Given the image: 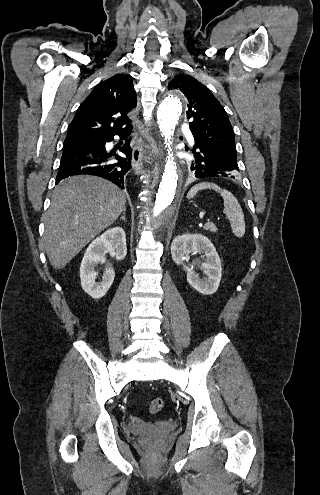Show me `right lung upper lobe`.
I'll use <instances>...</instances> for the list:
<instances>
[{"mask_svg": "<svg viewBox=\"0 0 320 495\" xmlns=\"http://www.w3.org/2000/svg\"><path fill=\"white\" fill-rule=\"evenodd\" d=\"M136 104V92L128 75L116 74L100 82L79 106L64 142L98 139L130 128L127 113Z\"/></svg>", "mask_w": 320, "mask_h": 495, "instance_id": "1", "label": "right lung upper lobe"}]
</instances>
